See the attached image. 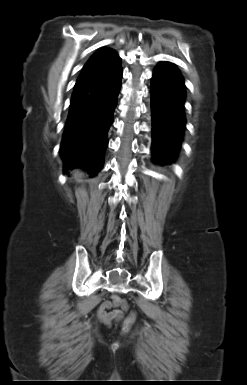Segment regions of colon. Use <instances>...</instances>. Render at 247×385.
Listing matches in <instances>:
<instances>
[{
    "mask_svg": "<svg viewBox=\"0 0 247 385\" xmlns=\"http://www.w3.org/2000/svg\"><path fill=\"white\" fill-rule=\"evenodd\" d=\"M135 321H136V313L135 312L129 313L122 324L123 332H125V333L129 332V330L131 329V327L135 323Z\"/></svg>",
    "mask_w": 247,
    "mask_h": 385,
    "instance_id": "5ec220e1",
    "label": "colon"
}]
</instances>
